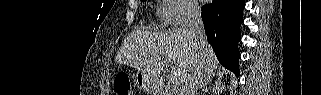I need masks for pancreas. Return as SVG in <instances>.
Wrapping results in <instances>:
<instances>
[{"label":"pancreas","mask_w":321,"mask_h":95,"mask_svg":"<svg viewBox=\"0 0 321 95\" xmlns=\"http://www.w3.org/2000/svg\"><path fill=\"white\" fill-rule=\"evenodd\" d=\"M164 94L165 95H174L175 93L170 87L165 86Z\"/></svg>","instance_id":"1"}]
</instances>
